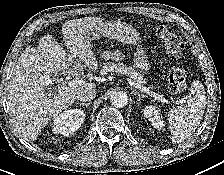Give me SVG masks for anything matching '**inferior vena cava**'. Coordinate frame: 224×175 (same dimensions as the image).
Listing matches in <instances>:
<instances>
[{
	"mask_svg": "<svg viewBox=\"0 0 224 175\" xmlns=\"http://www.w3.org/2000/svg\"><path fill=\"white\" fill-rule=\"evenodd\" d=\"M96 90L95 89H91V88H85L80 90L77 93L76 98L79 99L80 101H91L96 97Z\"/></svg>",
	"mask_w": 224,
	"mask_h": 175,
	"instance_id": "1",
	"label": "inferior vena cava"
}]
</instances>
